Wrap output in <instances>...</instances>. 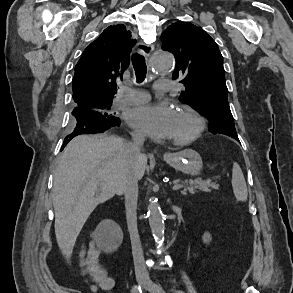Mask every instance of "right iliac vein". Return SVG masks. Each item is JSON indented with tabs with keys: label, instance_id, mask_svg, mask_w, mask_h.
Returning a JSON list of instances; mask_svg holds the SVG:
<instances>
[{
	"label": "right iliac vein",
	"instance_id": "obj_1",
	"mask_svg": "<svg viewBox=\"0 0 293 293\" xmlns=\"http://www.w3.org/2000/svg\"><path fill=\"white\" fill-rule=\"evenodd\" d=\"M137 280H138V283L140 284V286L143 288L145 286V280H146L145 276L142 274H138Z\"/></svg>",
	"mask_w": 293,
	"mask_h": 293
}]
</instances>
